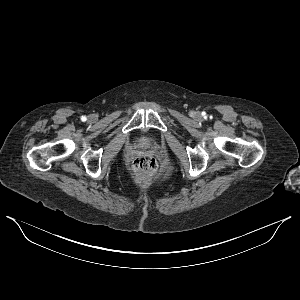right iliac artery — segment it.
Wrapping results in <instances>:
<instances>
[{
    "instance_id": "right-iliac-artery-1",
    "label": "right iliac artery",
    "mask_w": 300,
    "mask_h": 300,
    "mask_svg": "<svg viewBox=\"0 0 300 300\" xmlns=\"http://www.w3.org/2000/svg\"><path fill=\"white\" fill-rule=\"evenodd\" d=\"M86 119L87 118L85 116H82V118H81L82 121H86Z\"/></svg>"
}]
</instances>
